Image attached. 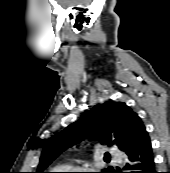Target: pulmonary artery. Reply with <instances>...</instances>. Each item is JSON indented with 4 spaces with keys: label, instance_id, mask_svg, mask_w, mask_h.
I'll use <instances>...</instances> for the list:
<instances>
[{
    "label": "pulmonary artery",
    "instance_id": "1",
    "mask_svg": "<svg viewBox=\"0 0 170 173\" xmlns=\"http://www.w3.org/2000/svg\"><path fill=\"white\" fill-rule=\"evenodd\" d=\"M109 153L111 156H113V157L117 158L119 161H121V154L118 150L111 148L109 150Z\"/></svg>",
    "mask_w": 170,
    "mask_h": 173
}]
</instances>
